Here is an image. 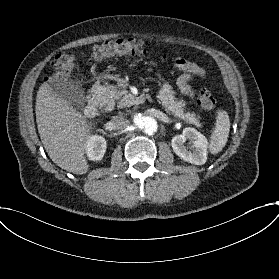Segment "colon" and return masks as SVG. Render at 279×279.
Segmentation results:
<instances>
[{
  "label": "colon",
  "mask_w": 279,
  "mask_h": 279,
  "mask_svg": "<svg viewBox=\"0 0 279 279\" xmlns=\"http://www.w3.org/2000/svg\"><path fill=\"white\" fill-rule=\"evenodd\" d=\"M146 53L145 42L143 40H114L101 43L90 49L88 52V60L90 62H98L115 56H144ZM74 67L75 58L70 52L62 51L57 53L52 60V69L57 72L54 80L61 81L72 73ZM198 100L203 110L212 113L219 111V106L209 90H200L198 92Z\"/></svg>",
  "instance_id": "1"
}]
</instances>
